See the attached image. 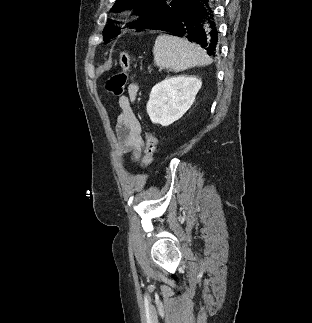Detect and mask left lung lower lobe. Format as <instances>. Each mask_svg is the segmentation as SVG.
Here are the masks:
<instances>
[{
  "instance_id": "obj_1",
  "label": "left lung lower lobe",
  "mask_w": 312,
  "mask_h": 323,
  "mask_svg": "<svg viewBox=\"0 0 312 323\" xmlns=\"http://www.w3.org/2000/svg\"><path fill=\"white\" fill-rule=\"evenodd\" d=\"M215 2L211 0H174L171 11L154 29L186 37L200 44L209 55L219 54Z\"/></svg>"
}]
</instances>
